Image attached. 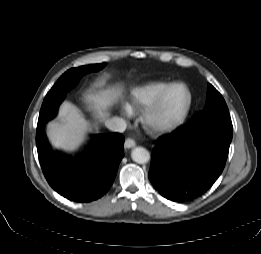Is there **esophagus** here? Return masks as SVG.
Wrapping results in <instances>:
<instances>
[{
  "label": "esophagus",
  "mask_w": 261,
  "mask_h": 254,
  "mask_svg": "<svg viewBox=\"0 0 261 254\" xmlns=\"http://www.w3.org/2000/svg\"><path fill=\"white\" fill-rule=\"evenodd\" d=\"M134 146H135V141H134L133 139L127 138V139L125 140L124 147H125L126 149L132 148V147H134Z\"/></svg>",
  "instance_id": "obj_1"
}]
</instances>
